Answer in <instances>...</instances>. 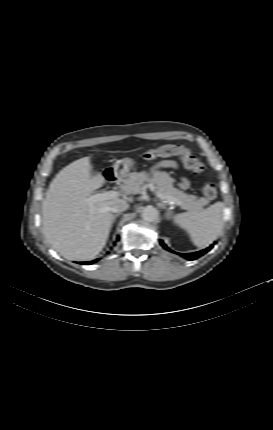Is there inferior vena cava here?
<instances>
[{"mask_svg": "<svg viewBox=\"0 0 273 430\" xmlns=\"http://www.w3.org/2000/svg\"><path fill=\"white\" fill-rule=\"evenodd\" d=\"M129 208V204L123 200L116 201L111 207L110 212L119 213Z\"/></svg>", "mask_w": 273, "mask_h": 430, "instance_id": "obj_1", "label": "inferior vena cava"}]
</instances>
